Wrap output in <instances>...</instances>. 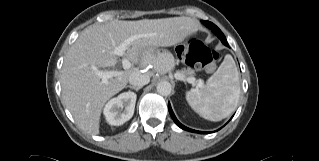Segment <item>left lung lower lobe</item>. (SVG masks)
Masks as SVG:
<instances>
[{
	"instance_id": "obj_1",
	"label": "left lung lower lobe",
	"mask_w": 319,
	"mask_h": 161,
	"mask_svg": "<svg viewBox=\"0 0 319 161\" xmlns=\"http://www.w3.org/2000/svg\"><path fill=\"white\" fill-rule=\"evenodd\" d=\"M202 22H203V24H205V25L208 27V25L206 24L207 21H202ZM208 28H210L213 32H215V31H217V30L219 29V28H218L216 25H214V24H213L212 26L208 27ZM225 46H229L228 43H226ZM168 109H169V113H170V115H171L173 121H174L175 124H176L178 127H180L181 129H184V130H187V131H190V132L200 133V134H206V133H208V132L196 131V130L190 129V128H188V127L182 125V124L177 120L176 116L174 115L170 103L168 104Z\"/></svg>"
}]
</instances>
